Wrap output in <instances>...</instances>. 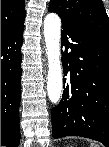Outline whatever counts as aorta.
Listing matches in <instances>:
<instances>
[{"label":"aorta","mask_w":109,"mask_h":147,"mask_svg":"<svg viewBox=\"0 0 109 147\" xmlns=\"http://www.w3.org/2000/svg\"><path fill=\"white\" fill-rule=\"evenodd\" d=\"M61 19L56 13H49L44 19V37L48 58L47 92L49 100L59 102L63 81L60 57Z\"/></svg>","instance_id":"1"}]
</instances>
